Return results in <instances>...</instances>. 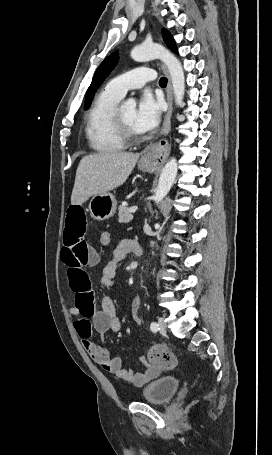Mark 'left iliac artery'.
<instances>
[{"mask_svg":"<svg viewBox=\"0 0 272 455\" xmlns=\"http://www.w3.org/2000/svg\"><path fill=\"white\" fill-rule=\"evenodd\" d=\"M150 329H151L152 332H157V330L159 329V326H158V324L156 322H152L150 324Z\"/></svg>","mask_w":272,"mask_h":455,"instance_id":"left-iliac-artery-1","label":"left iliac artery"}]
</instances>
